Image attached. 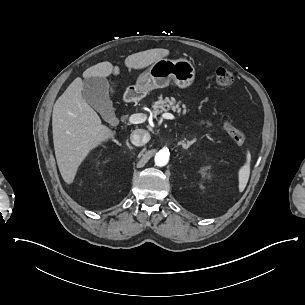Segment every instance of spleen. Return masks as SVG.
Here are the masks:
<instances>
[{"label": "spleen", "instance_id": "3e777b00", "mask_svg": "<svg viewBox=\"0 0 305 305\" xmlns=\"http://www.w3.org/2000/svg\"><path fill=\"white\" fill-rule=\"evenodd\" d=\"M247 161L246 163L240 168L239 170V191L242 192L248 182L249 175H250V161H251V155L250 152H247Z\"/></svg>", "mask_w": 305, "mask_h": 305}]
</instances>
